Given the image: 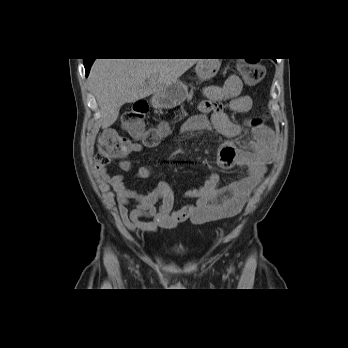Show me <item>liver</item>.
<instances>
[{"label":"liver","mask_w":348,"mask_h":348,"mask_svg":"<svg viewBox=\"0 0 348 348\" xmlns=\"http://www.w3.org/2000/svg\"><path fill=\"white\" fill-rule=\"evenodd\" d=\"M200 59H96L90 87L101 111L102 126H111L125 103L156 94L178 81Z\"/></svg>","instance_id":"liver-1"}]
</instances>
